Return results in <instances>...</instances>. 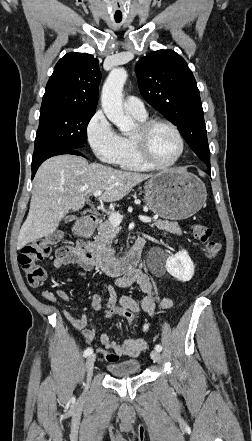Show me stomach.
Instances as JSON below:
<instances>
[{"instance_id":"obj_1","label":"stomach","mask_w":252,"mask_h":441,"mask_svg":"<svg viewBox=\"0 0 252 441\" xmlns=\"http://www.w3.org/2000/svg\"><path fill=\"white\" fill-rule=\"evenodd\" d=\"M204 183L180 168L162 171L144 185V200L151 210L168 220L196 214L206 200Z\"/></svg>"}]
</instances>
